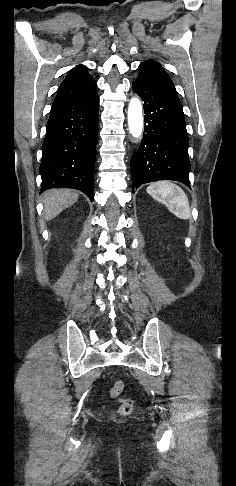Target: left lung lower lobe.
<instances>
[{
    "label": "left lung lower lobe",
    "mask_w": 236,
    "mask_h": 486,
    "mask_svg": "<svg viewBox=\"0 0 236 486\" xmlns=\"http://www.w3.org/2000/svg\"><path fill=\"white\" fill-rule=\"evenodd\" d=\"M132 87L144 101L146 123L140 147L131 159L132 192L158 180L190 187L189 140L180 101L143 79L137 78Z\"/></svg>",
    "instance_id": "1"
}]
</instances>
